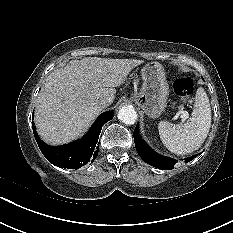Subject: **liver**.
<instances>
[{
    "instance_id": "liver-1",
    "label": "liver",
    "mask_w": 233,
    "mask_h": 233,
    "mask_svg": "<svg viewBox=\"0 0 233 233\" xmlns=\"http://www.w3.org/2000/svg\"><path fill=\"white\" fill-rule=\"evenodd\" d=\"M142 63L86 57L51 72L36 101L35 124L42 140L61 145L79 137L102 111L99 100L107 98L111 104L115 87Z\"/></svg>"
}]
</instances>
